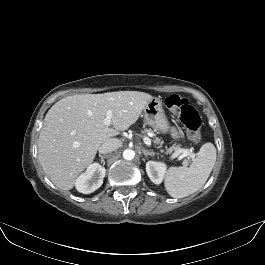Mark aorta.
I'll return each instance as SVG.
<instances>
[{
	"mask_svg": "<svg viewBox=\"0 0 265 265\" xmlns=\"http://www.w3.org/2000/svg\"><path fill=\"white\" fill-rule=\"evenodd\" d=\"M135 157V152L132 149H126L123 151V158L125 160H132Z\"/></svg>",
	"mask_w": 265,
	"mask_h": 265,
	"instance_id": "1",
	"label": "aorta"
}]
</instances>
